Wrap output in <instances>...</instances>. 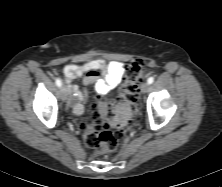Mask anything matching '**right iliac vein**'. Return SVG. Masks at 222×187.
I'll return each mask as SVG.
<instances>
[{
  "instance_id": "63e3f726",
  "label": "right iliac vein",
  "mask_w": 222,
  "mask_h": 187,
  "mask_svg": "<svg viewBox=\"0 0 222 187\" xmlns=\"http://www.w3.org/2000/svg\"><path fill=\"white\" fill-rule=\"evenodd\" d=\"M60 97H61L62 101H64V102L68 98V91H67V88L65 86H62L60 88Z\"/></svg>"
}]
</instances>
